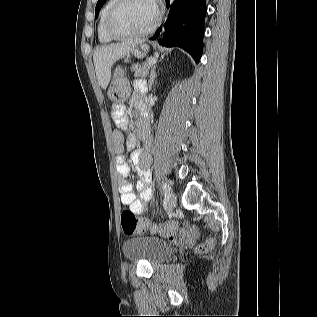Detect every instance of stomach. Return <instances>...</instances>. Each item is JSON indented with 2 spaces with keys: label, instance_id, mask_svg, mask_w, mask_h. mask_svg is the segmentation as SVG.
I'll list each match as a JSON object with an SVG mask.
<instances>
[{
  "label": "stomach",
  "instance_id": "0dacf381",
  "mask_svg": "<svg viewBox=\"0 0 317 317\" xmlns=\"http://www.w3.org/2000/svg\"><path fill=\"white\" fill-rule=\"evenodd\" d=\"M148 49H149V46L144 43L135 45L131 49V51L126 54L125 61L126 62L129 61L130 54L134 55L137 58H143L146 55ZM116 68H124L125 70H131V63H115V69Z\"/></svg>",
  "mask_w": 317,
  "mask_h": 317
}]
</instances>
